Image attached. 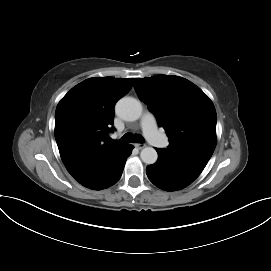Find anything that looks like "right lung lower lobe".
<instances>
[{
    "mask_svg": "<svg viewBox=\"0 0 271 271\" xmlns=\"http://www.w3.org/2000/svg\"><path fill=\"white\" fill-rule=\"evenodd\" d=\"M133 146L125 145V147L115 156V158L94 178L82 183L83 186L101 190L115 184L121 177L126 159L132 153Z\"/></svg>",
    "mask_w": 271,
    "mask_h": 271,
    "instance_id": "right-lung-lower-lobe-1",
    "label": "right lung lower lobe"
}]
</instances>
